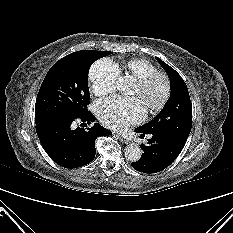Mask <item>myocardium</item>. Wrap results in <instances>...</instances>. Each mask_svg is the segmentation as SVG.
<instances>
[{"mask_svg": "<svg viewBox=\"0 0 233 233\" xmlns=\"http://www.w3.org/2000/svg\"><path fill=\"white\" fill-rule=\"evenodd\" d=\"M156 79H161L163 81L164 93L158 102L147 107V110L152 114L159 112L167 104L172 90L170 79L166 74L155 71L136 80L138 87L141 90H145Z\"/></svg>", "mask_w": 233, "mask_h": 233, "instance_id": "obj_1", "label": "myocardium"}]
</instances>
